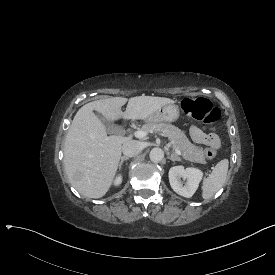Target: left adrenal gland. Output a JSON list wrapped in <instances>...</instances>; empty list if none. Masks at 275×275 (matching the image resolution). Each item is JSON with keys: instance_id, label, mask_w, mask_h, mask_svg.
<instances>
[{"instance_id": "obj_1", "label": "left adrenal gland", "mask_w": 275, "mask_h": 275, "mask_svg": "<svg viewBox=\"0 0 275 275\" xmlns=\"http://www.w3.org/2000/svg\"><path fill=\"white\" fill-rule=\"evenodd\" d=\"M166 155H167L168 159H171L172 161H180V160H181V159L178 157V155L175 154V153H172V155L170 156L167 147H166Z\"/></svg>"}]
</instances>
